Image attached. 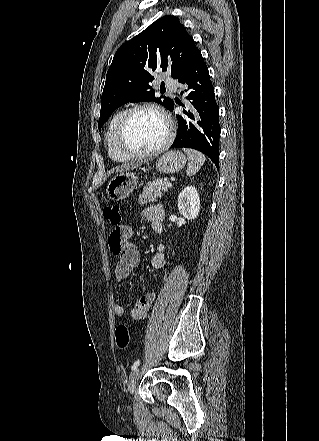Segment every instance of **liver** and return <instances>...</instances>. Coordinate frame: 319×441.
<instances>
[{"label": "liver", "instance_id": "1", "mask_svg": "<svg viewBox=\"0 0 319 441\" xmlns=\"http://www.w3.org/2000/svg\"><path fill=\"white\" fill-rule=\"evenodd\" d=\"M140 165H141V163H138V162L137 163H135V162L125 163V164H122V165L116 167L113 171H116V172L128 171L130 169H135Z\"/></svg>", "mask_w": 319, "mask_h": 441}]
</instances>
